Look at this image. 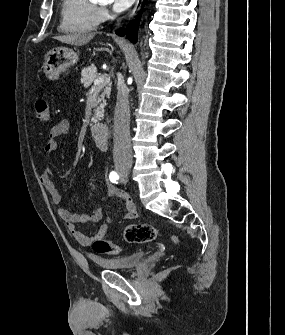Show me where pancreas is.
Masks as SVG:
<instances>
[{
	"label": "pancreas",
	"mask_w": 285,
	"mask_h": 335,
	"mask_svg": "<svg viewBox=\"0 0 285 335\" xmlns=\"http://www.w3.org/2000/svg\"><path fill=\"white\" fill-rule=\"evenodd\" d=\"M96 74H97V70L95 66H88V68H84V71H82L81 73L82 90H89V88H94V85H89V84H93V82L97 80ZM110 94H111V88H105V90H103L102 94H100L98 98L99 104L100 102H102V100H104L105 96H110ZM93 110L94 111L91 112L90 114V117L93 120V122L94 123L102 122L103 117L101 114H103L104 112V106L94 105Z\"/></svg>",
	"instance_id": "pancreas-1"
}]
</instances>
